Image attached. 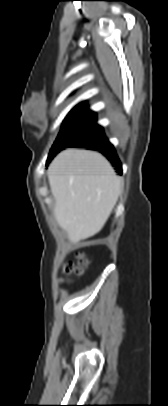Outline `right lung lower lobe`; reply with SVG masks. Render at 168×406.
<instances>
[{"instance_id": "right-lung-lower-lobe-1", "label": "right lung lower lobe", "mask_w": 168, "mask_h": 406, "mask_svg": "<svg viewBox=\"0 0 168 406\" xmlns=\"http://www.w3.org/2000/svg\"><path fill=\"white\" fill-rule=\"evenodd\" d=\"M68 147H75V148H88L91 150L99 151L100 153L104 154L105 157L112 162V164L116 167L118 172L122 174V166L121 163L116 155L114 147L109 143L107 138L104 135L103 130L98 133H95L79 142L69 145ZM67 148V147H65ZM63 150V149H62ZM52 159V158H51ZM50 159V160H51ZM47 161V164L50 162Z\"/></svg>"}]
</instances>
